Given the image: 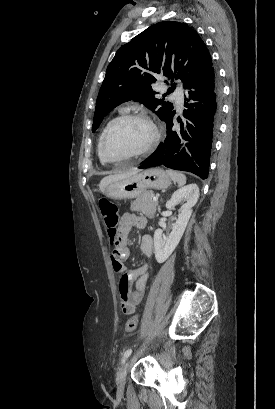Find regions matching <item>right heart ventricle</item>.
<instances>
[{"instance_id": "right-heart-ventricle-1", "label": "right heart ventricle", "mask_w": 275, "mask_h": 409, "mask_svg": "<svg viewBox=\"0 0 275 409\" xmlns=\"http://www.w3.org/2000/svg\"><path fill=\"white\" fill-rule=\"evenodd\" d=\"M110 123H111V122L107 123V125L104 127V129L102 130V132H101V134H100V136H99V140H98V152H99L100 143H101V140H102V138H103V135H104V133H105V131H106V129H107V127L109 126ZM99 156H100V155H99Z\"/></svg>"}]
</instances>
